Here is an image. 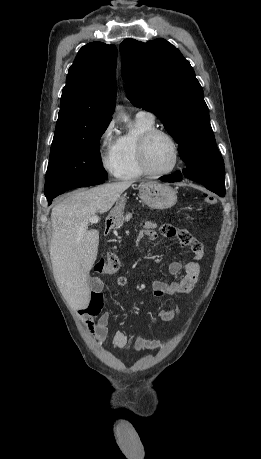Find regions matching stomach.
Here are the masks:
<instances>
[{
	"instance_id": "stomach-1",
	"label": "stomach",
	"mask_w": 261,
	"mask_h": 459,
	"mask_svg": "<svg viewBox=\"0 0 261 459\" xmlns=\"http://www.w3.org/2000/svg\"><path fill=\"white\" fill-rule=\"evenodd\" d=\"M141 200L152 210H165L174 206L177 202L176 191L168 184L146 182L139 187ZM117 213L121 215L118 208Z\"/></svg>"
}]
</instances>
